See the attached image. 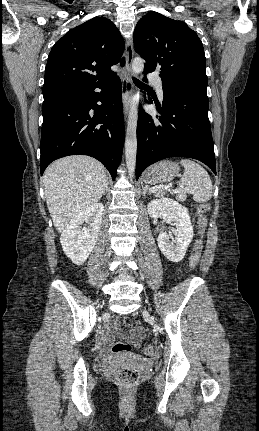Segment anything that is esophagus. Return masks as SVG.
I'll list each match as a JSON object with an SVG mask.
<instances>
[{
    "label": "esophagus",
    "instance_id": "1",
    "mask_svg": "<svg viewBox=\"0 0 259 431\" xmlns=\"http://www.w3.org/2000/svg\"><path fill=\"white\" fill-rule=\"evenodd\" d=\"M134 57V46L133 39L130 37L126 41V67L123 71L121 82H122V99H123V111L125 117H127L130 109V94L132 92V81H131V65Z\"/></svg>",
    "mask_w": 259,
    "mask_h": 431
}]
</instances>
